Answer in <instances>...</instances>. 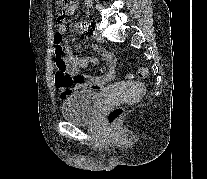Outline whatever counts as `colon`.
<instances>
[{
    "instance_id": "1",
    "label": "colon",
    "mask_w": 207,
    "mask_h": 179,
    "mask_svg": "<svg viewBox=\"0 0 207 179\" xmlns=\"http://www.w3.org/2000/svg\"><path fill=\"white\" fill-rule=\"evenodd\" d=\"M57 12L59 15H63L68 0H54ZM54 63L56 68V85L61 90L63 96H68L74 90L78 78L72 76L69 71L68 63L64 55L63 36L59 32L54 34ZM148 75V69L146 67H139L136 72V77L143 79ZM124 114L122 107L113 108L107 115V122L111 126H116Z\"/></svg>"
}]
</instances>
